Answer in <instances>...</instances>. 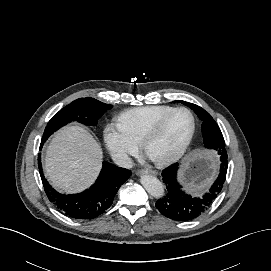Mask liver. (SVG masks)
I'll use <instances>...</instances> for the list:
<instances>
[{
	"label": "liver",
	"mask_w": 271,
	"mask_h": 271,
	"mask_svg": "<svg viewBox=\"0 0 271 271\" xmlns=\"http://www.w3.org/2000/svg\"><path fill=\"white\" fill-rule=\"evenodd\" d=\"M103 152L93 136L80 126L60 130L47 148L45 171L52 185L65 193L89 187L102 167Z\"/></svg>",
	"instance_id": "6515ba94"
}]
</instances>
